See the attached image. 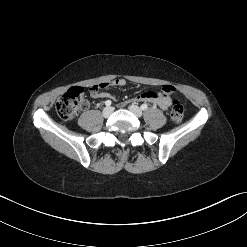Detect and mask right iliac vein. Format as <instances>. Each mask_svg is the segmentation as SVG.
<instances>
[{
  "label": "right iliac vein",
  "instance_id": "right-iliac-vein-1",
  "mask_svg": "<svg viewBox=\"0 0 247 247\" xmlns=\"http://www.w3.org/2000/svg\"><path fill=\"white\" fill-rule=\"evenodd\" d=\"M112 112H113V109L111 107H105L102 111V115L103 117L108 118L111 116Z\"/></svg>",
  "mask_w": 247,
  "mask_h": 247
}]
</instances>
